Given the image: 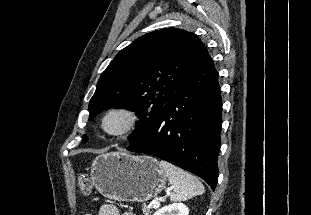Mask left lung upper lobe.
Segmentation results:
<instances>
[{"label":"left lung upper lobe","mask_w":311,"mask_h":215,"mask_svg":"<svg viewBox=\"0 0 311 215\" xmlns=\"http://www.w3.org/2000/svg\"><path fill=\"white\" fill-rule=\"evenodd\" d=\"M205 46L193 33L165 28L122 49L101 74L89 119L107 108L134 111L140 120L129 144L140 139L192 71ZM84 135L83 141L87 140Z\"/></svg>","instance_id":"left-lung-upper-lobe-1"}]
</instances>
